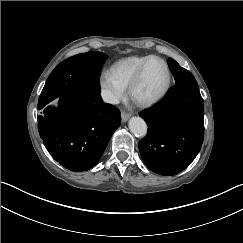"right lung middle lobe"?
<instances>
[{
    "label": "right lung middle lobe",
    "mask_w": 243,
    "mask_h": 243,
    "mask_svg": "<svg viewBox=\"0 0 243 243\" xmlns=\"http://www.w3.org/2000/svg\"><path fill=\"white\" fill-rule=\"evenodd\" d=\"M107 58L104 53L89 51L69 57L58 64L49 75L40 94L38 109H42L72 88L100 91L99 77Z\"/></svg>",
    "instance_id": "obj_1"
}]
</instances>
